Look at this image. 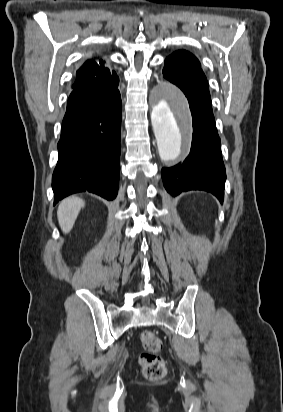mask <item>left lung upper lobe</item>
<instances>
[{
	"instance_id": "obj_1",
	"label": "left lung upper lobe",
	"mask_w": 283,
	"mask_h": 412,
	"mask_svg": "<svg viewBox=\"0 0 283 412\" xmlns=\"http://www.w3.org/2000/svg\"><path fill=\"white\" fill-rule=\"evenodd\" d=\"M163 76L168 79L186 76L208 85L199 61L194 55L185 50L176 51L165 59Z\"/></svg>"
}]
</instances>
